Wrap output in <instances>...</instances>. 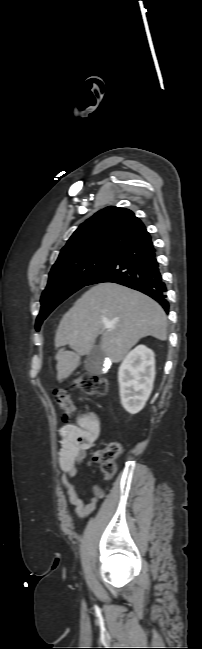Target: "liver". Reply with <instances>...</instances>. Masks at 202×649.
Masks as SVG:
<instances>
[{
    "instance_id": "6515ba94",
    "label": "liver",
    "mask_w": 202,
    "mask_h": 649,
    "mask_svg": "<svg viewBox=\"0 0 202 649\" xmlns=\"http://www.w3.org/2000/svg\"><path fill=\"white\" fill-rule=\"evenodd\" d=\"M102 334L100 348L111 362H119L143 337L167 339L163 308L147 295L116 283L90 288L67 311L56 331L55 346L69 345L56 354L57 380L62 382L77 368Z\"/></svg>"
}]
</instances>
